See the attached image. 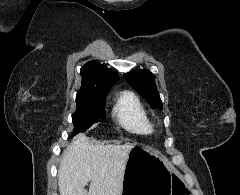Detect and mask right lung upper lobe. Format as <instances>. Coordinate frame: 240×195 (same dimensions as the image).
<instances>
[{"mask_svg": "<svg viewBox=\"0 0 240 195\" xmlns=\"http://www.w3.org/2000/svg\"><path fill=\"white\" fill-rule=\"evenodd\" d=\"M80 73L82 84L76 100L105 99L111 86L119 80L116 71L97 61L87 62L82 66Z\"/></svg>", "mask_w": 240, "mask_h": 195, "instance_id": "obj_1", "label": "right lung upper lobe"}]
</instances>
